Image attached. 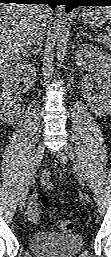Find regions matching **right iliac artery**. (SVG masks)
<instances>
[{"instance_id":"82829eb1","label":"right iliac artery","mask_w":111,"mask_h":257,"mask_svg":"<svg viewBox=\"0 0 111 257\" xmlns=\"http://www.w3.org/2000/svg\"><path fill=\"white\" fill-rule=\"evenodd\" d=\"M30 185L28 182L25 183L24 185V188H23V191L22 192H25V193H28L29 192V189H30Z\"/></svg>"}]
</instances>
